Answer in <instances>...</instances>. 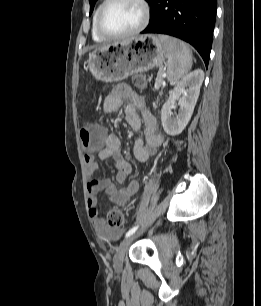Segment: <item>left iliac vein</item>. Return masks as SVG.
<instances>
[{
	"label": "left iliac vein",
	"instance_id": "1",
	"mask_svg": "<svg viewBox=\"0 0 261 306\" xmlns=\"http://www.w3.org/2000/svg\"><path fill=\"white\" fill-rule=\"evenodd\" d=\"M138 234V233H137ZM137 234H132L131 236L127 237L125 240L121 242L118 246L116 253L114 255V268L121 269L123 266L124 256L127 248L129 245L134 241L137 237Z\"/></svg>",
	"mask_w": 261,
	"mask_h": 306
}]
</instances>
